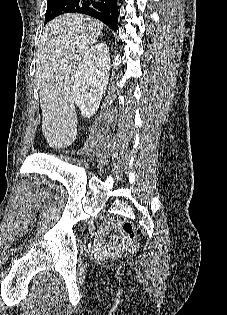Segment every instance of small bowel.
<instances>
[{
  "mask_svg": "<svg viewBox=\"0 0 227 315\" xmlns=\"http://www.w3.org/2000/svg\"><path fill=\"white\" fill-rule=\"evenodd\" d=\"M114 226L113 222H109L108 224L104 225L103 227L100 228V233L101 234H107L110 230V227ZM119 245V240L116 236L111 237V239H109L108 241H98L97 246L100 249L103 250H114L115 248H117Z\"/></svg>",
  "mask_w": 227,
  "mask_h": 315,
  "instance_id": "small-bowel-1",
  "label": "small bowel"
}]
</instances>
